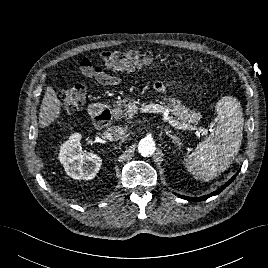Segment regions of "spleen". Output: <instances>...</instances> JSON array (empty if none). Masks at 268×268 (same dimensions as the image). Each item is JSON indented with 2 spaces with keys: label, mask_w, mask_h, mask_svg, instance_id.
I'll use <instances>...</instances> for the list:
<instances>
[{
  "label": "spleen",
  "mask_w": 268,
  "mask_h": 268,
  "mask_svg": "<svg viewBox=\"0 0 268 268\" xmlns=\"http://www.w3.org/2000/svg\"><path fill=\"white\" fill-rule=\"evenodd\" d=\"M217 127L188 155L186 167L196 179L209 181L231 165L242 141L243 112L240 102L232 96L222 97L216 104Z\"/></svg>",
  "instance_id": "1"
}]
</instances>
